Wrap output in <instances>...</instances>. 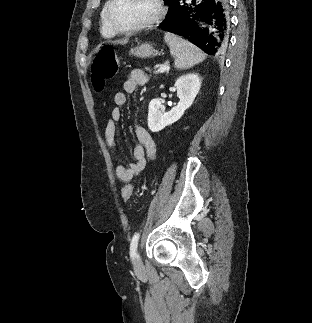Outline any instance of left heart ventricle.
<instances>
[{
  "label": "left heart ventricle",
  "mask_w": 312,
  "mask_h": 323,
  "mask_svg": "<svg viewBox=\"0 0 312 323\" xmlns=\"http://www.w3.org/2000/svg\"><path fill=\"white\" fill-rule=\"evenodd\" d=\"M157 14V2L153 0H115L111 7V18H121L122 22H138Z\"/></svg>",
  "instance_id": "obj_1"
}]
</instances>
